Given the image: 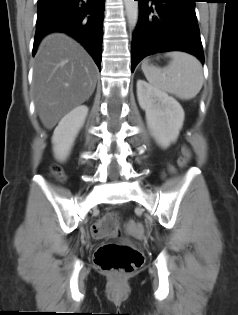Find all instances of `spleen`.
Returning <instances> with one entry per match:
<instances>
[{"label":"spleen","mask_w":238,"mask_h":315,"mask_svg":"<svg viewBox=\"0 0 238 315\" xmlns=\"http://www.w3.org/2000/svg\"><path fill=\"white\" fill-rule=\"evenodd\" d=\"M168 66L158 68L142 62V71L148 82L155 88L170 93L182 100L194 98L201 90L204 82L203 68L200 61L184 52H170Z\"/></svg>","instance_id":"obj_1"}]
</instances>
